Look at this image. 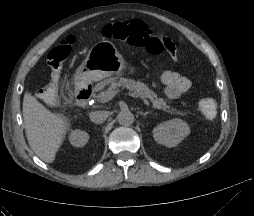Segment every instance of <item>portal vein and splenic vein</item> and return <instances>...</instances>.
I'll list each match as a JSON object with an SVG mask.
<instances>
[{
  "instance_id": "obj_1",
  "label": "portal vein and splenic vein",
  "mask_w": 254,
  "mask_h": 216,
  "mask_svg": "<svg viewBox=\"0 0 254 216\" xmlns=\"http://www.w3.org/2000/svg\"><path fill=\"white\" fill-rule=\"evenodd\" d=\"M118 93H119V90H110V91H108V92H105V93L103 94V97H102V102L105 103V102L110 101V100L113 99ZM133 97H136V98L141 99V100L144 102L145 105L150 106L149 101L146 100L145 98H143L142 96L134 94Z\"/></svg>"
}]
</instances>
